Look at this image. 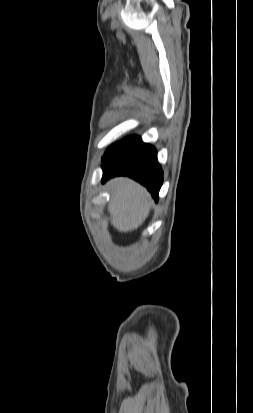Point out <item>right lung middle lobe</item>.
<instances>
[{"mask_svg":"<svg viewBox=\"0 0 253 413\" xmlns=\"http://www.w3.org/2000/svg\"><path fill=\"white\" fill-rule=\"evenodd\" d=\"M140 140L141 139L138 136H129V137L123 139L122 141L113 144L112 146H110L106 150V152H105V154L102 158V161L105 162L110 157H112L114 154L126 149L127 147L133 145L134 143H136Z\"/></svg>","mask_w":253,"mask_h":413,"instance_id":"obj_1","label":"right lung middle lobe"}]
</instances>
